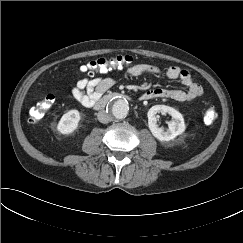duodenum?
I'll list each match as a JSON object with an SVG mask.
<instances>
[{"mask_svg":"<svg viewBox=\"0 0 243 243\" xmlns=\"http://www.w3.org/2000/svg\"><path fill=\"white\" fill-rule=\"evenodd\" d=\"M127 96L118 93V92H113V93H109L105 96H103L100 99H97L94 104L93 107L97 110H101L104 109L110 102L120 99V98H126Z\"/></svg>","mask_w":243,"mask_h":243,"instance_id":"obj_1","label":"duodenum"}]
</instances>
